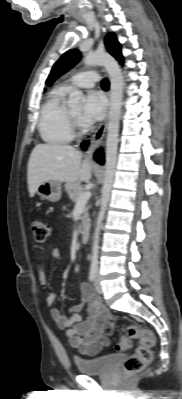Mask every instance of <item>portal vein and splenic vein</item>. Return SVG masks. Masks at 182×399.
<instances>
[{
    "mask_svg": "<svg viewBox=\"0 0 182 399\" xmlns=\"http://www.w3.org/2000/svg\"><path fill=\"white\" fill-rule=\"evenodd\" d=\"M90 196H91L90 191H83L78 198L77 204L87 202L89 200Z\"/></svg>",
    "mask_w": 182,
    "mask_h": 399,
    "instance_id": "portal-vein-and-splenic-vein-1",
    "label": "portal vein and splenic vein"
}]
</instances>
